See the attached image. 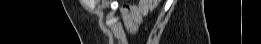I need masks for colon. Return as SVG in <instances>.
I'll list each match as a JSON object with an SVG mask.
<instances>
[{"instance_id": "1", "label": "colon", "mask_w": 261, "mask_h": 44, "mask_svg": "<svg viewBox=\"0 0 261 44\" xmlns=\"http://www.w3.org/2000/svg\"><path fill=\"white\" fill-rule=\"evenodd\" d=\"M140 2H143L146 5L147 10H149V11L154 10L156 7V4H157V0H142ZM127 9H128V7H126V10Z\"/></svg>"}]
</instances>
